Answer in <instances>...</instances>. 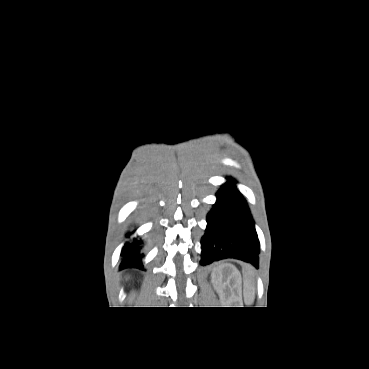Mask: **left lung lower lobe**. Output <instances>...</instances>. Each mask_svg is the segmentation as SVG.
<instances>
[{"label":"left lung lower lobe","mask_w":369,"mask_h":369,"mask_svg":"<svg viewBox=\"0 0 369 369\" xmlns=\"http://www.w3.org/2000/svg\"><path fill=\"white\" fill-rule=\"evenodd\" d=\"M228 182L217 192V202L207 215V228L201 240V264L235 258L258 268L259 241L245 199Z\"/></svg>","instance_id":"1"}]
</instances>
